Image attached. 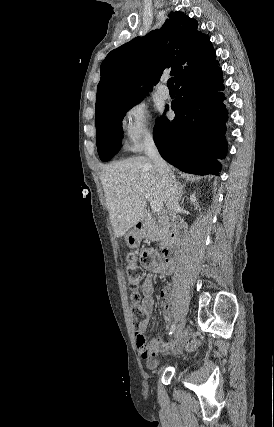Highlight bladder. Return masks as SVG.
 I'll use <instances>...</instances> for the list:
<instances>
[{"mask_svg": "<svg viewBox=\"0 0 274 427\" xmlns=\"http://www.w3.org/2000/svg\"><path fill=\"white\" fill-rule=\"evenodd\" d=\"M161 361L159 358L152 356L150 358H148L147 362H146V367L147 369H149L151 372H154L158 367L161 366Z\"/></svg>", "mask_w": 274, "mask_h": 427, "instance_id": "1", "label": "bladder"}]
</instances>
